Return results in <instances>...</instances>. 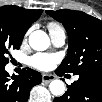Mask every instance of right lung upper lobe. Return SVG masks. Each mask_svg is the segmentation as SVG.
<instances>
[{
    "instance_id": "cb5924a9",
    "label": "right lung upper lobe",
    "mask_w": 102,
    "mask_h": 102,
    "mask_svg": "<svg viewBox=\"0 0 102 102\" xmlns=\"http://www.w3.org/2000/svg\"><path fill=\"white\" fill-rule=\"evenodd\" d=\"M42 10H30L22 7L7 5L0 7V24L5 23L15 35L24 36L25 32L36 21Z\"/></svg>"
}]
</instances>
